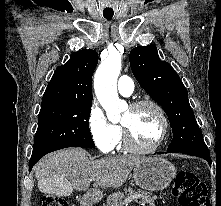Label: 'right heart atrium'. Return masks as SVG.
Returning a JSON list of instances; mask_svg holds the SVG:
<instances>
[{
  "label": "right heart atrium",
  "instance_id": "obj_1",
  "mask_svg": "<svg viewBox=\"0 0 221 206\" xmlns=\"http://www.w3.org/2000/svg\"><path fill=\"white\" fill-rule=\"evenodd\" d=\"M88 128L99 151L107 154L114 149L119 138L120 128L108 120L97 102H93L90 107Z\"/></svg>",
  "mask_w": 221,
  "mask_h": 206
}]
</instances>
